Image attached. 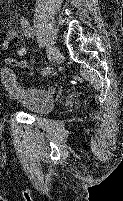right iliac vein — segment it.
<instances>
[{"mask_svg": "<svg viewBox=\"0 0 123 201\" xmlns=\"http://www.w3.org/2000/svg\"><path fill=\"white\" fill-rule=\"evenodd\" d=\"M47 53H48V59L52 61L57 57L58 49L54 45H49Z\"/></svg>", "mask_w": 123, "mask_h": 201, "instance_id": "1", "label": "right iliac vein"}]
</instances>
